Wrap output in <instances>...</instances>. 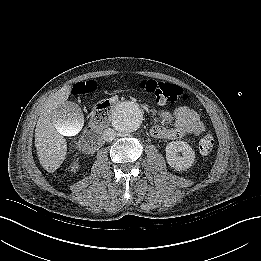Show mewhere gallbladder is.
<instances>
[{
	"label": "gallbladder",
	"mask_w": 261,
	"mask_h": 261,
	"mask_svg": "<svg viewBox=\"0 0 261 261\" xmlns=\"http://www.w3.org/2000/svg\"><path fill=\"white\" fill-rule=\"evenodd\" d=\"M85 115L73 102H65L52 113V126L62 136H74L84 125Z\"/></svg>",
	"instance_id": "bac80fb5"
}]
</instances>
